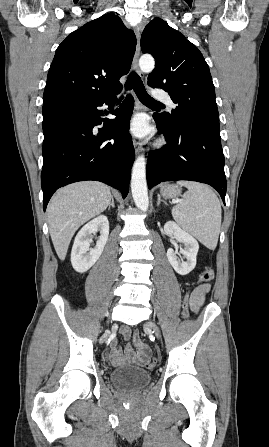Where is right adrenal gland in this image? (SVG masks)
<instances>
[{
	"label": "right adrenal gland",
	"instance_id": "2a0ac1e0",
	"mask_svg": "<svg viewBox=\"0 0 269 447\" xmlns=\"http://www.w3.org/2000/svg\"><path fill=\"white\" fill-rule=\"evenodd\" d=\"M110 208H115V206H114V198H113V196H112V198H111V204H109V206H108V210H110Z\"/></svg>",
	"mask_w": 269,
	"mask_h": 447
}]
</instances>
